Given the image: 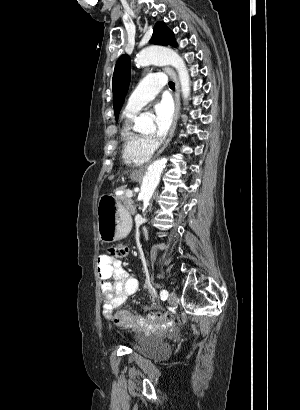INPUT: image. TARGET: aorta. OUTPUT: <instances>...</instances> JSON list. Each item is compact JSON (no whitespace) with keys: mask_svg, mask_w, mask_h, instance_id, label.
<instances>
[{"mask_svg":"<svg viewBox=\"0 0 300 410\" xmlns=\"http://www.w3.org/2000/svg\"><path fill=\"white\" fill-rule=\"evenodd\" d=\"M136 66H146L150 64L171 65L178 73L181 85V92L186 99L190 94V77L186 64L182 57L174 50L163 47H148L140 51L135 59ZM153 121L145 114L140 115L135 120V130L146 132L153 128ZM167 158L162 157L154 161L148 168L143 177L139 193L140 199L144 204L149 203L155 189L157 188L161 174L166 166Z\"/></svg>","mask_w":300,"mask_h":410,"instance_id":"762f6f07","label":"aorta"}]
</instances>
